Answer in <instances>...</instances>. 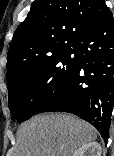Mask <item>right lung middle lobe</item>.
Here are the masks:
<instances>
[{"label": "right lung middle lobe", "instance_id": "right-lung-middle-lobe-1", "mask_svg": "<svg viewBox=\"0 0 114 156\" xmlns=\"http://www.w3.org/2000/svg\"><path fill=\"white\" fill-rule=\"evenodd\" d=\"M77 66L73 48L17 76L8 87L12 115L22 122L46 109L63 92Z\"/></svg>", "mask_w": 114, "mask_h": 156}]
</instances>
